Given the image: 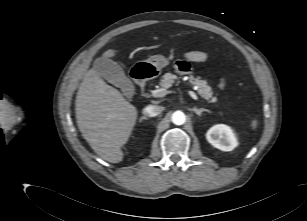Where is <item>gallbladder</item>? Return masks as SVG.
Returning <instances> with one entry per match:
<instances>
[{
	"mask_svg": "<svg viewBox=\"0 0 307 221\" xmlns=\"http://www.w3.org/2000/svg\"><path fill=\"white\" fill-rule=\"evenodd\" d=\"M93 68L100 77L119 87L126 97L131 98L133 96L135 91L134 84L125 75L118 63L111 59L100 57L94 61Z\"/></svg>",
	"mask_w": 307,
	"mask_h": 221,
	"instance_id": "gallbladder-1",
	"label": "gallbladder"
}]
</instances>
